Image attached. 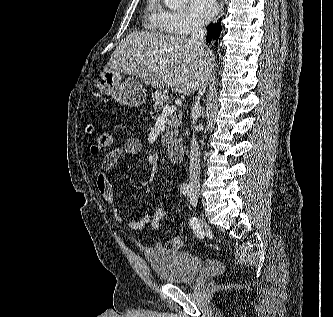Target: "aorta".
<instances>
[{
	"label": "aorta",
	"mask_w": 333,
	"mask_h": 317,
	"mask_svg": "<svg viewBox=\"0 0 333 317\" xmlns=\"http://www.w3.org/2000/svg\"><path fill=\"white\" fill-rule=\"evenodd\" d=\"M188 0H164V3L170 9H180L182 8Z\"/></svg>",
	"instance_id": "762f6f07"
}]
</instances>
